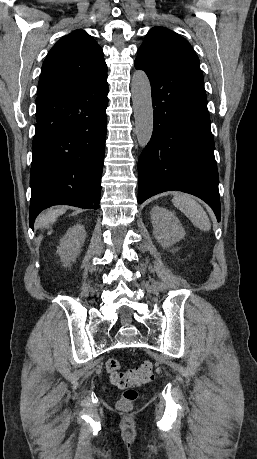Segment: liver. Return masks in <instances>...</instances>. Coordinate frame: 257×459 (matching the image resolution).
Here are the masks:
<instances>
[{"mask_svg":"<svg viewBox=\"0 0 257 459\" xmlns=\"http://www.w3.org/2000/svg\"><path fill=\"white\" fill-rule=\"evenodd\" d=\"M58 210H49L43 214H41L36 221V225L38 228H49L50 224H53L56 221L58 216Z\"/></svg>","mask_w":257,"mask_h":459,"instance_id":"1","label":"liver"}]
</instances>
